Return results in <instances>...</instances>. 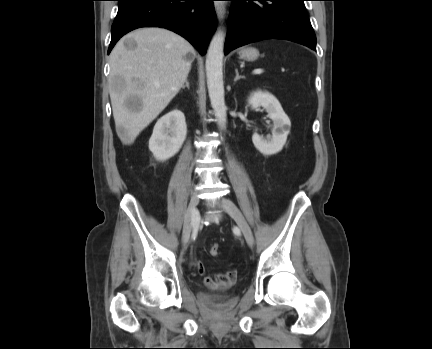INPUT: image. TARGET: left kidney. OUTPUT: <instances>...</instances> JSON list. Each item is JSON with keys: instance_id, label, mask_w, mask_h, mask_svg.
Listing matches in <instances>:
<instances>
[{"instance_id": "5707ae66", "label": "left kidney", "mask_w": 432, "mask_h": 349, "mask_svg": "<svg viewBox=\"0 0 432 349\" xmlns=\"http://www.w3.org/2000/svg\"><path fill=\"white\" fill-rule=\"evenodd\" d=\"M248 103L252 109L262 106L273 121L272 136L264 138L257 133L252 136V142L257 150L264 155H274L280 152L286 143L291 122L285 114L280 102L269 92L257 90L251 93Z\"/></svg>"}]
</instances>
